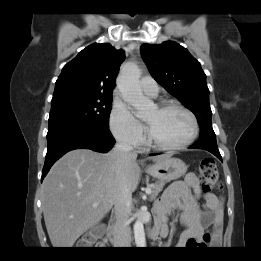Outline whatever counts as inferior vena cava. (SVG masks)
Segmentation results:
<instances>
[{"instance_id": "602c4592", "label": "inferior vena cava", "mask_w": 261, "mask_h": 261, "mask_svg": "<svg viewBox=\"0 0 261 261\" xmlns=\"http://www.w3.org/2000/svg\"><path fill=\"white\" fill-rule=\"evenodd\" d=\"M114 152L117 155V164L119 167V175L121 166L126 160H135L137 153L133 151V147L125 142L118 141L115 144ZM131 205V192L124 182L118 188L114 200V243L119 247H130L131 232L129 227V214Z\"/></svg>"}]
</instances>
